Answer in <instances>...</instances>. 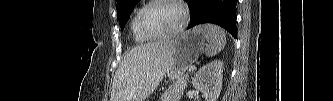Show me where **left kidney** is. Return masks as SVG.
Listing matches in <instances>:
<instances>
[{
    "label": "left kidney",
    "mask_w": 333,
    "mask_h": 101,
    "mask_svg": "<svg viewBox=\"0 0 333 101\" xmlns=\"http://www.w3.org/2000/svg\"><path fill=\"white\" fill-rule=\"evenodd\" d=\"M223 63L214 60L201 67L192 79L193 87L202 92L206 101H216L222 89Z\"/></svg>",
    "instance_id": "left-kidney-1"
}]
</instances>
